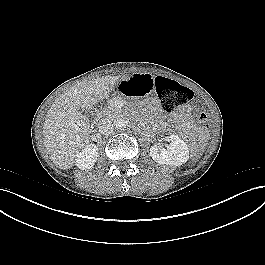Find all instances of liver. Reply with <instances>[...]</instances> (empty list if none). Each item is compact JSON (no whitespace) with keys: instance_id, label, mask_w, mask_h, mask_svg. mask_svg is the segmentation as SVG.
Wrapping results in <instances>:
<instances>
[{"instance_id":"1","label":"liver","mask_w":265,"mask_h":265,"mask_svg":"<svg viewBox=\"0 0 265 265\" xmlns=\"http://www.w3.org/2000/svg\"><path fill=\"white\" fill-rule=\"evenodd\" d=\"M120 80L121 76H106L79 82L51 105L43 125V142L59 169L73 167L76 155L88 145L92 127L83 111L107 98Z\"/></svg>"}]
</instances>
